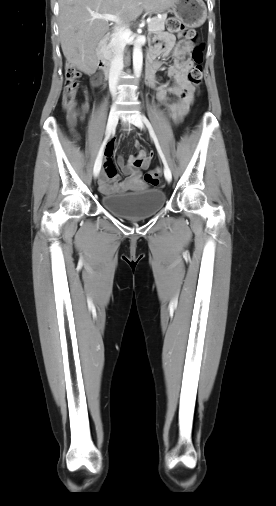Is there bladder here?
I'll return each instance as SVG.
<instances>
[{
    "label": "bladder",
    "instance_id": "1",
    "mask_svg": "<svg viewBox=\"0 0 276 506\" xmlns=\"http://www.w3.org/2000/svg\"><path fill=\"white\" fill-rule=\"evenodd\" d=\"M165 201V192L157 188L104 194L101 197V202L107 210L126 218L151 216L164 206Z\"/></svg>",
    "mask_w": 276,
    "mask_h": 506
}]
</instances>
